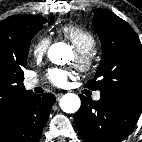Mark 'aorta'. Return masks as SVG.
I'll list each match as a JSON object with an SVG mask.
<instances>
[{
  "instance_id": "aorta-1",
  "label": "aorta",
  "mask_w": 142,
  "mask_h": 142,
  "mask_svg": "<svg viewBox=\"0 0 142 142\" xmlns=\"http://www.w3.org/2000/svg\"><path fill=\"white\" fill-rule=\"evenodd\" d=\"M71 53L72 50L70 46L60 42L53 44L49 48L48 57L52 63L57 65H63L68 61ZM80 105H81L80 98L73 93L65 94L60 99V108L65 113L71 114L77 112L80 108Z\"/></svg>"
}]
</instances>
